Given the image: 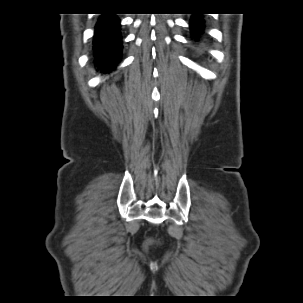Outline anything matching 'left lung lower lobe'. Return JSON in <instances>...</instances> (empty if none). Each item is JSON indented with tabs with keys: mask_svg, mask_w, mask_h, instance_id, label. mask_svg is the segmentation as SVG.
Returning a JSON list of instances; mask_svg holds the SVG:
<instances>
[{
	"mask_svg": "<svg viewBox=\"0 0 303 303\" xmlns=\"http://www.w3.org/2000/svg\"><path fill=\"white\" fill-rule=\"evenodd\" d=\"M191 31L195 34V37L198 36L199 33L203 31V20L199 15H195L192 17L190 22Z\"/></svg>",
	"mask_w": 303,
	"mask_h": 303,
	"instance_id": "left-lung-lower-lobe-1",
	"label": "left lung lower lobe"
}]
</instances>
